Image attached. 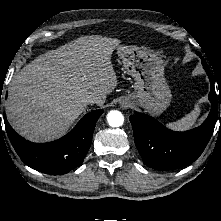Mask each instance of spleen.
Masks as SVG:
<instances>
[{"label": "spleen", "mask_w": 221, "mask_h": 221, "mask_svg": "<svg viewBox=\"0 0 221 221\" xmlns=\"http://www.w3.org/2000/svg\"><path fill=\"white\" fill-rule=\"evenodd\" d=\"M200 115V107L198 104L194 105V109L186 116L176 122L168 123L167 126L173 130L183 131L192 128L198 116Z\"/></svg>", "instance_id": "3e777b00"}]
</instances>
